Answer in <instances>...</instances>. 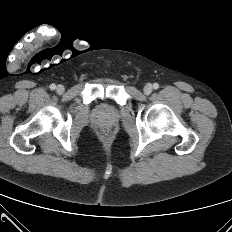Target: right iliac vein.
I'll return each mask as SVG.
<instances>
[{
	"label": "right iliac vein",
	"instance_id": "63e3f726",
	"mask_svg": "<svg viewBox=\"0 0 232 232\" xmlns=\"http://www.w3.org/2000/svg\"><path fill=\"white\" fill-rule=\"evenodd\" d=\"M56 91H57L58 94H62V93H64L65 88H64L63 85H58L57 88H56Z\"/></svg>",
	"mask_w": 232,
	"mask_h": 232
}]
</instances>
